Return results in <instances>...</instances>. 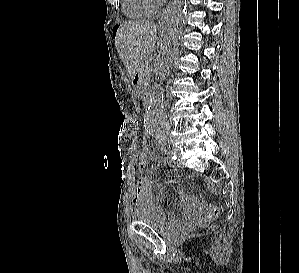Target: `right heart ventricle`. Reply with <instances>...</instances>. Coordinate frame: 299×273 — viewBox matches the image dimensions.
<instances>
[{
  "instance_id": "1",
  "label": "right heart ventricle",
  "mask_w": 299,
  "mask_h": 273,
  "mask_svg": "<svg viewBox=\"0 0 299 273\" xmlns=\"http://www.w3.org/2000/svg\"><path fill=\"white\" fill-rule=\"evenodd\" d=\"M123 13L132 19H148L155 14V7L149 0H122Z\"/></svg>"
}]
</instances>
